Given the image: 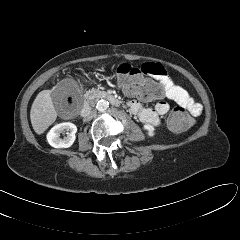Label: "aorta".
Segmentation results:
<instances>
[{
  "label": "aorta",
  "instance_id": "obj_1",
  "mask_svg": "<svg viewBox=\"0 0 240 240\" xmlns=\"http://www.w3.org/2000/svg\"><path fill=\"white\" fill-rule=\"evenodd\" d=\"M109 107V102L107 100L101 99L96 104V109L100 112L107 110Z\"/></svg>",
  "mask_w": 240,
  "mask_h": 240
}]
</instances>
